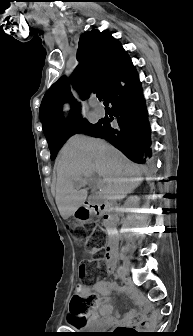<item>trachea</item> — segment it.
I'll use <instances>...</instances> for the list:
<instances>
[{"label": "trachea", "mask_w": 193, "mask_h": 336, "mask_svg": "<svg viewBox=\"0 0 193 336\" xmlns=\"http://www.w3.org/2000/svg\"><path fill=\"white\" fill-rule=\"evenodd\" d=\"M97 98L101 101L102 100V95L100 93H97Z\"/></svg>", "instance_id": "3493384b"}]
</instances>
